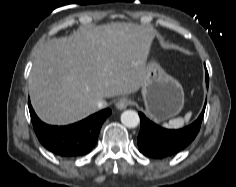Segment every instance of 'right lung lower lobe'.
<instances>
[{"label":"right lung lower lobe","mask_w":236,"mask_h":187,"mask_svg":"<svg viewBox=\"0 0 236 187\" xmlns=\"http://www.w3.org/2000/svg\"><path fill=\"white\" fill-rule=\"evenodd\" d=\"M28 104L39 141L46 149L63 158H76L88 154L97 142L104 120L111 114V110L107 108L75 124L51 126L36 116L30 101Z\"/></svg>","instance_id":"right-lung-lower-lobe-1"}]
</instances>
